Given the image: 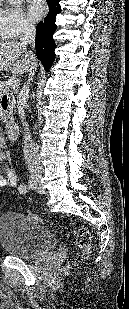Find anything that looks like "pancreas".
<instances>
[{"instance_id": "1", "label": "pancreas", "mask_w": 129, "mask_h": 309, "mask_svg": "<svg viewBox=\"0 0 129 309\" xmlns=\"http://www.w3.org/2000/svg\"><path fill=\"white\" fill-rule=\"evenodd\" d=\"M10 91V87L6 86V82L5 81H0V94L1 93H4V92H9ZM12 115L11 112L9 113H3L1 110H0V120L2 122H6L8 117Z\"/></svg>"}]
</instances>
